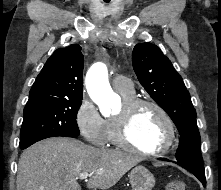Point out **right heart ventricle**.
<instances>
[{"label":"right heart ventricle","mask_w":221,"mask_h":190,"mask_svg":"<svg viewBox=\"0 0 221 190\" xmlns=\"http://www.w3.org/2000/svg\"><path fill=\"white\" fill-rule=\"evenodd\" d=\"M119 93L124 100H131V99L136 98L134 90L129 93H121V92H119ZM107 121H108V127H109L108 142H110L111 144H113L115 146H120L119 140H118V132H117L115 118L111 117Z\"/></svg>","instance_id":"1"}]
</instances>
